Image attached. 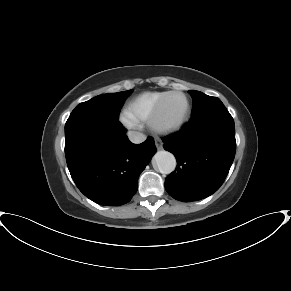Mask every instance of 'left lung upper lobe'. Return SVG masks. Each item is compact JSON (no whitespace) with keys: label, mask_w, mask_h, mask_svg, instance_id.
Here are the masks:
<instances>
[{"label":"left lung upper lobe","mask_w":291,"mask_h":291,"mask_svg":"<svg viewBox=\"0 0 291 291\" xmlns=\"http://www.w3.org/2000/svg\"><path fill=\"white\" fill-rule=\"evenodd\" d=\"M189 93L193 99L192 118L205 114L216 107L223 106V103L217 97L208 96L195 90H190Z\"/></svg>","instance_id":"left-lung-upper-lobe-1"}]
</instances>
